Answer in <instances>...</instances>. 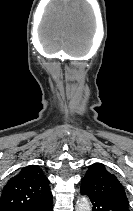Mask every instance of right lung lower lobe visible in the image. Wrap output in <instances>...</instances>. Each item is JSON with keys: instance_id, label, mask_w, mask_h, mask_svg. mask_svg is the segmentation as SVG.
<instances>
[{"instance_id": "right-lung-lower-lobe-1", "label": "right lung lower lobe", "mask_w": 133, "mask_h": 211, "mask_svg": "<svg viewBox=\"0 0 133 211\" xmlns=\"http://www.w3.org/2000/svg\"><path fill=\"white\" fill-rule=\"evenodd\" d=\"M28 211H52V197L43 203L32 206Z\"/></svg>"}]
</instances>
